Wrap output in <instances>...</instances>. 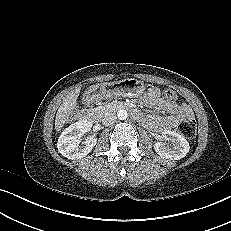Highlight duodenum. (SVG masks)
Segmentation results:
<instances>
[{
	"label": "duodenum",
	"instance_id": "1",
	"mask_svg": "<svg viewBox=\"0 0 231 231\" xmlns=\"http://www.w3.org/2000/svg\"><path fill=\"white\" fill-rule=\"evenodd\" d=\"M116 108L120 110H131L133 117L137 120H142L143 118V115L139 111L134 110L132 105L129 103H119L117 104ZM83 120L91 121V122L96 120V113L93 111V109L86 110L83 116Z\"/></svg>",
	"mask_w": 231,
	"mask_h": 231
}]
</instances>
